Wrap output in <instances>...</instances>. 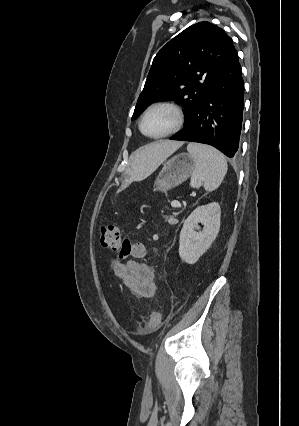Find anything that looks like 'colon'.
<instances>
[{
	"mask_svg": "<svg viewBox=\"0 0 299 426\" xmlns=\"http://www.w3.org/2000/svg\"><path fill=\"white\" fill-rule=\"evenodd\" d=\"M100 245L105 251H117L123 259L128 257L142 258L146 255L145 247L140 243H133L128 238L122 236L120 229L113 224H104L100 230ZM161 321L160 314L152 310L145 324L143 331L152 333L156 331Z\"/></svg>",
	"mask_w": 299,
	"mask_h": 426,
	"instance_id": "5ec220e1",
	"label": "colon"
}]
</instances>
